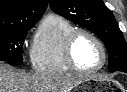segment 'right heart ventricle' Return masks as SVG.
<instances>
[{"instance_id":"e07e8e85","label":"right heart ventricle","mask_w":127,"mask_h":92,"mask_svg":"<svg viewBox=\"0 0 127 92\" xmlns=\"http://www.w3.org/2000/svg\"><path fill=\"white\" fill-rule=\"evenodd\" d=\"M75 29L65 18L48 14L40 22L32 46L33 69L43 75H63L71 72L64 59V42Z\"/></svg>"}]
</instances>
